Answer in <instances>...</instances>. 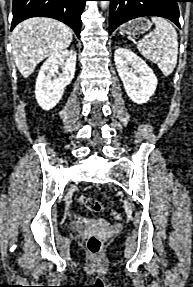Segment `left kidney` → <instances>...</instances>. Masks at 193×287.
<instances>
[{
  "label": "left kidney",
  "instance_id": "obj_1",
  "mask_svg": "<svg viewBox=\"0 0 193 287\" xmlns=\"http://www.w3.org/2000/svg\"><path fill=\"white\" fill-rule=\"evenodd\" d=\"M114 61L129 98L137 104L146 103L157 87V77L137 54L127 48L115 50Z\"/></svg>",
  "mask_w": 193,
  "mask_h": 287
}]
</instances>
